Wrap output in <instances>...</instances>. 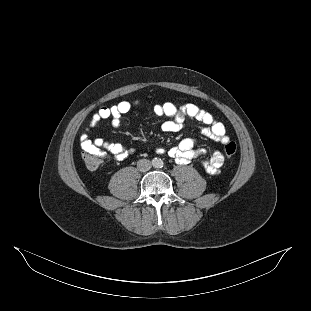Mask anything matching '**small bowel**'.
Segmentation results:
<instances>
[{"mask_svg":"<svg viewBox=\"0 0 311 311\" xmlns=\"http://www.w3.org/2000/svg\"><path fill=\"white\" fill-rule=\"evenodd\" d=\"M134 104L130 101H121L112 106H103L99 108L90 118L89 128L81 136V147L83 150H92L100 152L105 150L112 154L116 159L122 160L128 155V151L118 143H111L102 138L90 139L91 129L105 119H111V124L118 127L121 123L122 115L128 113ZM152 112L157 116L169 117L162 124L164 132H177L181 130L187 118L201 122L203 126L199 128L200 132L221 144L229 141L225 126L217 121L213 115L195 104H186L179 108L170 102L161 105H155ZM158 153H164V148L157 149ZM168 155L174 158L180 164H187L192 159L205 153L203 149H194V141L190 138L182 140L178 146L172 147L167 151ZM224 163V156L220 150L212 152L207 159L201 160V166L210 174H217Z\"/></svg>","mask_w":311,"mask_h":311,"instance_id":"1","label":"small bowel"}]
</instances>
